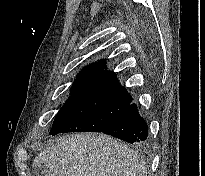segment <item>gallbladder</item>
Instances as JSON below:
<instances>
[{
  "instance_id": "obj_1",
  "label": "gallbladder",
  "mask_w": 205,
  "mask_h": 176,
  "mask_svg": "<svg viewBox=\"0 0 205 176\" xmlns=\"http://www.w3.org/2000/svg\"><path fill=\"white\" fill-rule=\"evenodd\" d=\"M32 176H51L50 170L42 165V164H35L32 167Z\"/></svg>"
}]
</instances>
